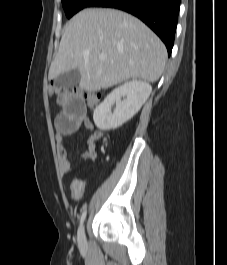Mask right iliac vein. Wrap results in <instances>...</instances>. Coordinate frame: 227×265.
Masks as SVG:
<instances>
[{
    "mask_svg": "<svg viewBox=\"0 0 227 265\" xmlns=\"http://www.w3.org/2000/svg\"><path fill=\"white\" fill-rule=\"evenodd\" d=\"M78 244L81 248L85 247L86 245V237H85V230L84 226H81L78 230V236H77Z\"/></svg>",
    "mask_w": 227,
    "mask_h": 265,
    "instance_id": "63e3f726",
    "label": "right iliac vein"
}]
</instances>
